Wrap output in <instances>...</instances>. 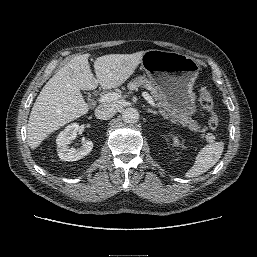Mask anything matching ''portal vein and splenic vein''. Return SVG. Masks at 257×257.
<instances>
[{
  "mask_svg": "<svg viewBox=\"0 0 257 257\" xmlns=\"http://www.w3.org/2000/svg\"><path fill=\"white\" fill-rule=\"evenodd\" d=\"M142 96L145 98V100L152 106V107H156V104L154 102V99L147 93V92H143ZM121 97V95L119 93L116 92H112V93H107L104 94L103 96H101L98 101L100 103H104V102H111L114 100H117Z\"/></svg>",
  "mask_w": 257,
  "mask_h": 257,
  "instance_id": "portal-vein-and-splenic-vein-1",
  "label": "portal vein and splenic vein"
}]
</instances>
